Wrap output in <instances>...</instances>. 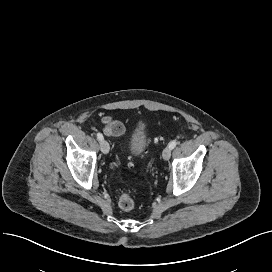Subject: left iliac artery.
<instances>
[{
  "instance_id": "left-iliac-artery-1",
  "label": "left iliac artery",
  "mask_w": 272,
  "mask_h": 272,
  "mask_svg": "<svg viewBox=\"0 0 272 272\" xmlns=\"http://www.w3.org/2000/svg\"><path fill=\"white\" fill-rule=\"evenodd\" d=\"M176 145H177V142H176L175 140H173V141H171V142L169 143V147H170L171 149H174V148L176 147Z\"/></svg>"
}]
</instances>
